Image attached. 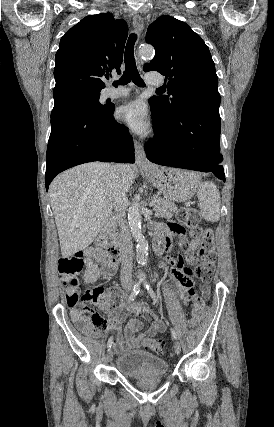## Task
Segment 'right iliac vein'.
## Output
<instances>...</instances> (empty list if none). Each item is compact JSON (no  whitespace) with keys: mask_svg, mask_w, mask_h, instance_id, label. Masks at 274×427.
Listing matches in <instances>:
<instances>
[{"mask_svg":"<svg viewBox=\"0 0 274 427\" xmlns=\"http://www.w3.org/2000/svg\"><path fill=\"white\" fill-rule=\"evenodd\" d=\"M123 285H124V287H125L126 290H130L131 286H130V284L128 282H124ZM113 358H114L113 350L109 349L108 353H107V361H108V363H111V361L113 360Z\"/></svg>","mask_w":274,"mask_h":427,"instance_id":"obj_1","label":"right iliac vein"}]
</instances>
